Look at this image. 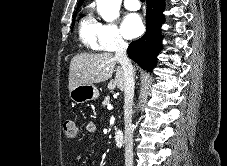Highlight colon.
Segmentation results:
<instances>
[{
	"label": "colon",
	"mask_w": 227,
	"mask_h": 166,
	"mask_svg": "<svg viewBox=\"0 0 227 166\" xmlns=\"http://www.w3.org/2000/svg\"><path fill=\"white\" fill-rule=\"evenodd\" d=\"M63 133L67 140L74 141L80 137V132L78 127L73 121H65L63 124Z\"/></svg>",
	"instance_id": "obj_1"
}]
</instances>
